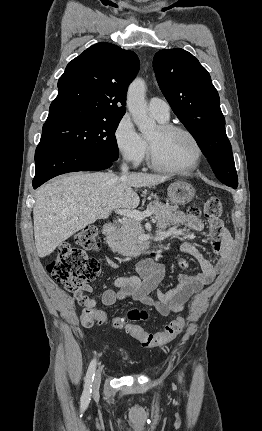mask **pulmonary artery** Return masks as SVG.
Wrapping results in <instances>:
<instances>
[{
	"label": "pulmonary artery",
	"instance_id": "e3ab8cb5",
	"mask_svg": "<svg viewBox=\"0 0 262 431\" xmlns=\"http://www.w3.org/2000/svg\"><path fill=\"white\" fill-rule=\"evenodd\" d=\"M148 108L153 116L159 120H168L170 116V108L166 101L153 97L149 100Z\"/></svg>",
	"mask_w": 262,
	"mask_h": 431
}]
</instances>
